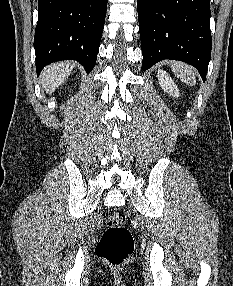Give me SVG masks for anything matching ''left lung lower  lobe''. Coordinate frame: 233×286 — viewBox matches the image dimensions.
<instances>
[{"instance_id":"obj_1","label":"left lung lower lobe","mask_w":233,"mask_h":286,"mask_svg":"<svg viewBox=\"0 0 233 286\" xmlns=\"http://www.w3.org/2000/svg\"><path fill=\"white\" fill-rule=\"evenodd\" d=\"M144 70L170 59L197 68L203 81L211 57L209 0H137Z\"/></svg>"}]
</instances>
